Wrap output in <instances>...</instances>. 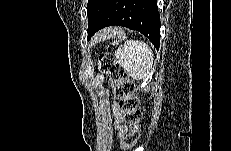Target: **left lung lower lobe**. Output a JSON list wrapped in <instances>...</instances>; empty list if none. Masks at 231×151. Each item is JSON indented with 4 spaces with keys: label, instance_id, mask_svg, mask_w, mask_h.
Returning a JSON list of instances; mask_svg holds the SVG:
<instances>
[{
    "label": "left lung lower lobe",
    "instance_id": "obj_1",
    "mask_svg": "<svg viewBox=\"0 0 231 151\" xmlns=\"http://www.w3.org/2000/svg\"><path fill=\"white\" fill-rule=\"evenodd\" d=\"M112 25L141 32L159 49L160 14L157 0H111L97 26L88 32L87 39L100 29Z\"/></svg>",
    "mask_w": 231,
    "mask_h": 151
}]
</instances>
